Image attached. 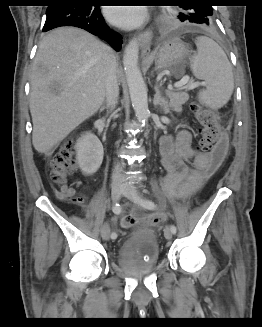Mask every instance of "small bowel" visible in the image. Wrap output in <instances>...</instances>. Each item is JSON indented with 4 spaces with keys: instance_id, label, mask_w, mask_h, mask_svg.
I'll return each instance as SVG.
<instances>
[{
    "instance_id": "obj_1",
    "label": "small bowel",
    "mask_w": 262,
    "mask_h": 327,
    "mask_svg": "<svg viewBox=\"0 0 262 327\" xmlns=\"http://www.w3.org/2000/svg\"><path fill=\"white\" fill-rule=\"evenodd\" d=\"M160 152L166 170L163 187L176 197H187L196 192L213 172L212 166L218 165L207 164L209 155L193 149L191 133L186 130L179 131L175 137L163 136ZM78 204H84L83 198L78 197Z\"/></svg>"
}]
</instances>
